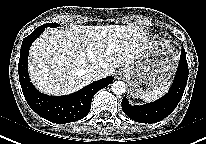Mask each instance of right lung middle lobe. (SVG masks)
Returning a JSON list of instances; mask_svg holds the SVG:
<instances>
[{
  "instance_id": "obj_1",
  "label": "right lung middle lobe",
  "mask_w": 206,
  "mask_h": 144,
  "mask_svg": "<svg viewBox=\"0 0 206 144\" xmlns=\"http://www.w3.org/2000/svg\"><path fill=\"white\" fill-rule=\"evenodd\" d=\"M41 26H44V27L46 28V27H57V26H59V25H58V24H55V23H46V24L41 25Z\"/></svg>"
}]
</instances>
